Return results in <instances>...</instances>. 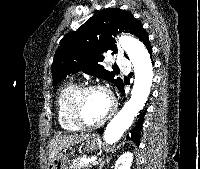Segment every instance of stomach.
Here are the masks:
<instances>
[{
  "label": "stomach",
  "mask_w": 200,
  "mask_h": 169,
  "mask_svg": "<svg viewBox=\"0 0 200 169\" xmlns=\"http://www.w3.org/2000/svg\"><path fill=\"white\" fill-rule=\"evenodd\" d=\"M83 146L87 151L95 150L99 146V140L95 136H89L85 139ZM69 161L68 149H64L57 154L48 169H68Z\"/></svg>",
  "instance_id": "obj_1"
}]
</instances>
